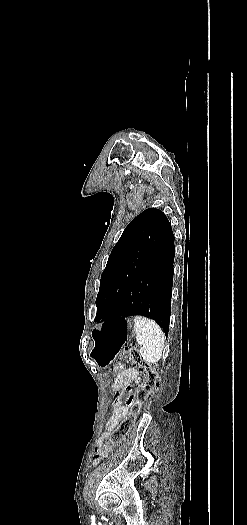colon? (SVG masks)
<instances>
[{
  "instance_id": "obj_1",
  "label": "colon",
  "mask_w": 247,
  "mask_h": 525,
  "mask_svg": "<svg viewBox=\"0 0 247 525\" xmlns=\"http://www.w3.org/2000/svg\"><path fill=\"white\" fill-rule=\"evenodd\" d=\"M123 364H131L141 372V376L135 381L137 386L136 392L126 395L124 399L127 415L121 420L118 426L112 430L108 437V441L112 445L119 444L129 434L143 403L159 385L157 365L143 359L135 343L125 345L119 356L118 366L113 367L111 370L113 376L118 377L121 375V367Z\"/></svg>"
}]
</instances>
